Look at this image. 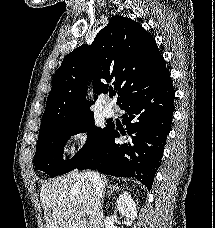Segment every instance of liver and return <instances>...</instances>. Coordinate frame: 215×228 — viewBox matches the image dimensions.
<instances>
[{"label": "liver", "mask_w": 215, "mask_h": 228, "mask_svg": "<svg viewBox=\"0 0 215 228\" xmlns=\"http://www.w3.org/2000/svg\"><path fill=\"white\" fill-rule=\"evenodd\" d=\"M99 176L108 190L109 180L103 174ZM40 190L46 228H104V196H97L88 172H70L61 178L48 180Z\"/></svg>", "instance_id": "obj_1"}]
</instances>
